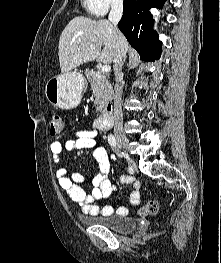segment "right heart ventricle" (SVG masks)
I'll return each mask as SVG.
<instances>
[{"instance_id": "e07e8e85", "label": "right heart ventricle", "mask_w": 221, "mask_h": 263, "mask_svg": "<svg viewBox=\"0 0 221 263\" xmlns=\"http://www.w3.org/2000/svg\"><path fill=\"white\" fill-rule=\"evenodd\" d=\"M84 5L86 6V8L88 9V5H89V0H83Z\"/></svg>"}]
</instances>
